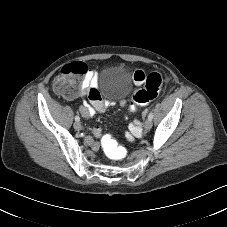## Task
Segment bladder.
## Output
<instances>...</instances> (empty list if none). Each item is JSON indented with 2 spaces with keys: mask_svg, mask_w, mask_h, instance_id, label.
<instances>
[{
  "mask_svg": "<svg viewBox=\"0 0 227 227\" xmlns=\"http://www.w3.org/2000/svg\"><path fill=\"white\" fill-rule=\"evenodd\" d=\"M130 80L124 69L117 67L114 72L106 76L104 81L100 84V89L110 87L111 93L117 99H124L128 96L130 91Z\"/></svg>",
  "mask_w": 227,
  "mask_h": 227,
  "instance_id": "bladder-1",
  "label": "bladder"
}]
</instances>
